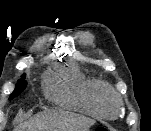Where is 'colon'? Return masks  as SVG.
Instances as JSON below:
<instances>
[{"label": "colon", "instance_id": "5ec220e1", "mask_svg": "<svg viewBox=\"0 0 151 131\" xmlns=\"http://www.w3.org/2000/svg\"><path fill=\"white\" fill-rule=\"evenodd\" d=\"M95 131H110V130L105 126H99L95 129Z\"/></svg>", "mask_w": 151, "mask_h": 131}]
</instances>
